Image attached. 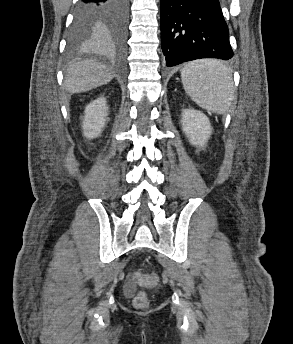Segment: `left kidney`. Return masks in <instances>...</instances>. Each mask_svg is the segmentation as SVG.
<instances>
[{"mask_svg": "<svg viewBox=\"0 0 293 344\" xmlns=\"http://www.w3.org/2000/svg\"><path fill=\"white\" fill-rule=\"evenodd\" d=\"M181 123L183 132L192 145L204 147L207 144L212 128L204 113L194 109H184Z\"/></svg>", "mask_w": 293, "mask_h": 344, "instance_id": "5707ae66", "label": "left kidney"}]
</instances>
